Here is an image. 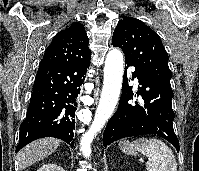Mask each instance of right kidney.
<instances>
[{"label":"right kidney","instance_id":"ca27d5eb","mask_svg":"<svg viewBox=\"0 0 199 171\" xmlns=\"http://www.w3.org/2000/svg\"><path fill=\"white\" fill-rule=\"evenodd\" d=\"M37 171H64V169L57 164L48 163L41 166V168H39Z\"/></svg>","mask_w":199,"mask_h":171}]
</instances>
